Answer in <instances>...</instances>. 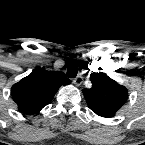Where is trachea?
<instances>
[{
    "label": "trachea",
    "mask_w": 145,
    "mask_h": 145,
    "mask_svg": "<svg viewBox=\"0 0 145 145\" xmlns=\"http://www.w3.org/2000/svg\"><path fill=\"white\" fill-rule=\"evenodd\" d=\"M78 74V68L76 65L71 64L68 68H67V76L69 78H76Z\"/></svg>",
    "instance_id": "1"
}]
</instances>
